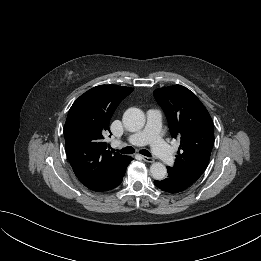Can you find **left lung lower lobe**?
<instances>
[{
	"instance_id": "0a47b994",
	"label": "left lung lower lobe",
	"mask_w": 261,
	"mask_h": 261,
	"mask_svg": "<svg viewBox=\"0 0 261 261\" xmlns=\"http://www.w3.org/2000/svg\"><path fill=\"white\" fill-rule=\"evenodd\" d=\"M168 177L161 181H154V185L159 189L169 192L178 193L188 189L193 183L181 177L167 167Z\"/></svg>"
}]
</instances>
